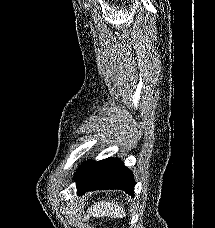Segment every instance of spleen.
Masks as SVG:
<instances>
[{
    "instance_id": "3e777b00",
    "label": "spleen",
    "mask_w": 215,
    "mask_h": 228,
    "mask_svg": "<svg viewBox=\"0 0 215 228\" xmlns=\"http://www.w3.org/2000/svg\"><path fill=\"white\" fill-rule=\"evenodd\" d=\"M93 218H125L126 212L119 204H110V202H97L88 212Z\"/></svg>"
}]
</instances>
